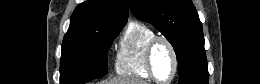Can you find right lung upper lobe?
I'll return each mask as SVG.
<instances>
[{"label": "right lung upper lobe", "mask_w": 260, "mask_h": 84, "mask_svg": "<svg viewBox=\"0 0 260 84\" xmlns=\"http://www.w3.org/2000/svg\"><path fill=\"white\" fill-rule=\"evenodd\" d=\"M127 18L126 0H88L74 10L63 42L89 39L98 28L126 24Z\"/></svg>", "instance_id": "obj_1"}]
</instances>
